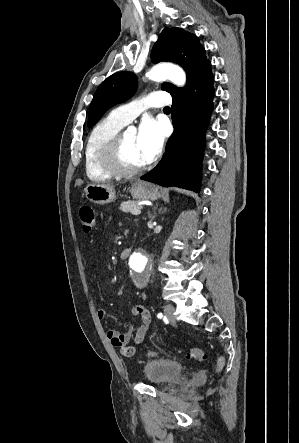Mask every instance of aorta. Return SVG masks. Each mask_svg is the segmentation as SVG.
<instances>
[{
	"instance_id": "762f6f07",
	"label": "aorta",
	"mask_w": 299,
	"mask_h": 443,
	"mask_svg": "<svg viewBox=\"0 0 299 443\" xmlns=\"http://www.w3.org/2000/svg\"><path fill=\"white\" fill-rule=\"evenodd\" d=\"M147 77L153 81H163L169 79L177 86H183L186 82L184 71L172 64H159L154 66L147 74ZM134 130V128H129ZM149 262V257L141 250H136L129 258V266L138 273L144 272Z\"/></svg>"
}]
</instances>
